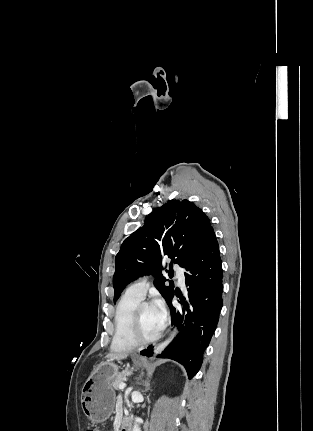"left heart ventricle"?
<instances>
[{
  "instance_id": "left-heart-ventricle-1",
  "label": "left heart ventricle",
  "mask_w": 313,
  "mask_h": 431,
  "mask_svg": "<svg viewBox=\"0 0 313 431\" xmlns=\"http://www.w3.org/2000/svg\"><path fill=\"white\" fill-rule=\"evenodd\" d=\"M159 331L155 315L151 306H145L141 315V333L144 337H151Z\"/></svg>"
}]
</instances>
